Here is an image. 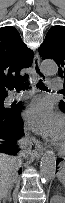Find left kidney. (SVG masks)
<instances>
[{
  "instance_id": "left-kidney-1",
  "label": "left kidney",
  "mask_w": 65,
  "mask_h": 203,
  "mask_svg": "<svg viewBox=\"0 0 65 203\" xmlns=\"http://www.w3.org/2000/svg\"><path fill=\"white\" fill-rule=\"evenodd\" d=\"M58 203H65V199L63 197H58Z\"/></svg>"
}]
</instances>
